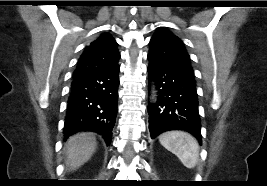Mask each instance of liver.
Returning a JSON list of instances; mask_svg holds the SVG:
<instances>
[{
    "label": "liver",
    "mask_w": 267,
    "mask_h": 186,
    "mask_svg": "<svg viewBox=\"0 0 267 186\" xmlns=\"http://www.w3.org/2000/svg\"><path fill=\"white\" fill-rule=\"evenodd\" d=\"M97 147V141L92 133L82 132L71 136L65 144L67 157L66 166L74 171L86 163Z\"/></svg>",
    "instance_id": "obj_1"
}]
</instances>
